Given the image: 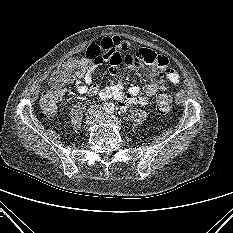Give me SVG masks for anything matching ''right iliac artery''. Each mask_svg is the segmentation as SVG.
Returning a JSON list of instances; mask_svg holds the SVG:
<instances>
[{
	"label": "right iliac artery",
	"instance_id": "right-iliac-artery-1",
	"mask_svg": "<svg viewBox=\"0 0 233 233\" xmlns=\"http://www.w3.org/2000/svg\"><path fill=\"white\" fill-rule=\"evenodd\" d=\"M103 108L105 111H109L111 109V106L110 104H105Z\"/></svg>",
	"mask_w": 233,
	"mask_h": 233
}]
</instances>
